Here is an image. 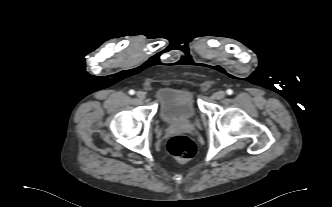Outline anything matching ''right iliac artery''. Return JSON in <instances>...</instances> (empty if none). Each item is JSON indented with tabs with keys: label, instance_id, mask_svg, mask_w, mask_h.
Instances as JSON below:
<instances>
[{
	"label": "right iliac artery",
	"instance_id": "1",
	"mask_svg": "<svg viewBox=\"0 0 332 207\" xmlns=\"http://www.w3.org/2000/svg\"><path fill=\"white\" fill-rule=\"evenodd\" d=\"M129 94H130V95H134V94H135V91H134V90H130V91H129Z\"/></svg>",
	"mask_w": 332,
	"mask_h": 207
}]
</instances>
